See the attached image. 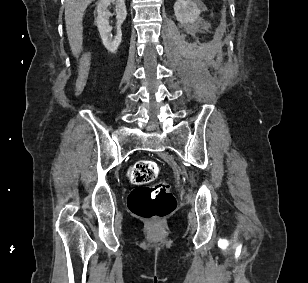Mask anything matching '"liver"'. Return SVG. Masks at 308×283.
I'll use <instances>...</instances> for the list:
<instances>
[{
	"label": "liver",
	"instance_id": "obj_1",
	"mask_svg": "<svg viewBox=\"0 0 308 283\" xmlns=\"http://www.w3.org/2000/svg\"><path fill=\"white\" fill-rule=\"evenodd\" d=\"M94 0H66L65 23L69 44L74 55L80 53L83 43V15Z\"/></svg>",
	"mask_w": 308,
	"mask_h": 283
}]
</instances>
